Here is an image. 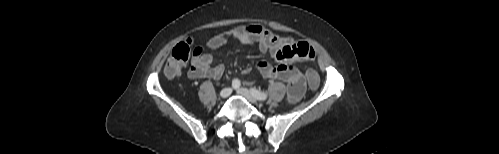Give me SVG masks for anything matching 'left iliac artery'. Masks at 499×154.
Returning <instances> with one entry per match:
<instances>
[{"label":"left iliac artery","mask_w":499,"mask_h":154,"mask_svg":"<svg viewBox=\"0 0 499 154\" xmlns=\"http://www.w3.org/2000/svg\"><path fill=\"white\" fill-rule=\"evenodd\" d=\"M251 93L258 99V100H266L267 99V94L265 92H262L260 90H257L255 88H251Z\"/></svg>","instance_id":"1"}]
</instances>
